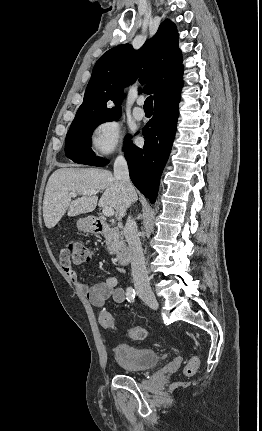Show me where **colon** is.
<instances>
[{
	"label": "colon",
	"instance_id": "5ec220e1",
	"mask_svg": "<svg viewBox=\"0 0 262 431\" xmlns=\"http://www.w3.org/2000/svg\"><path fill=\"white\" fill-rule=\"evenodd\" d=\"M93 255L91 247L80 242L72 241L65 245L62 253V261L66 263L81 264L90 261ZM99 323L103 329L111 330L115 326L114 318L106 311L99 314ZM128 337L132 340L141 341L146 339L147 331L140 326H132L128 329ZM200 364V358L194 354L190 356L184 367V374L192 376L196 373Z\"/></svg>",
	"mask_w": 262,
	"mask_h": 431
}]
</instances>
